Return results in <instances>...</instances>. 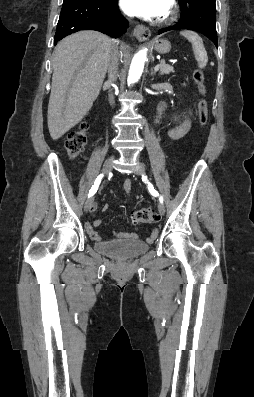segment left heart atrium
I'll return each mask as SVG.
<instances>
[{
    "label": "left heart atrium",
    "instance_id": "1",
    "mask_svg": "<svg viewBox=\"0 0 254 397\" xmlns=\"http://www.w3.org/2000/svg\"><path fill=\"white\" fill-rule=\"evenodd\" d=\"M172 0H121L122 9L131 16L156 19L165 15Z\"/></svg>",
    "mask_w": 254,
    "mask_h": 397
}]
</instances>
